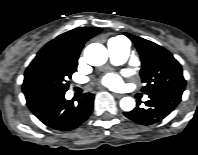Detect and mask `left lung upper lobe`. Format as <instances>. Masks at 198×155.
I'll return each instance as SVG.
<instances>
[{
	"label": "left lung upper lobe",
	"mask_w": 198,
	"mask_h": 155,
	"mask_svg": "<svg viewBox=\"0 0 198 155\" xmlns=\"http://www.w3.org/2000/svg\"><path fill=\"white\" fill-rule=\"evenodd\" d=\"M135 44L142 61L140 75L147 95L175 93L182 95L186 81L180 63L165 48L138 36L124 33Z\"/></svg>",
	"instance_id": "1"
}]
</instances>
